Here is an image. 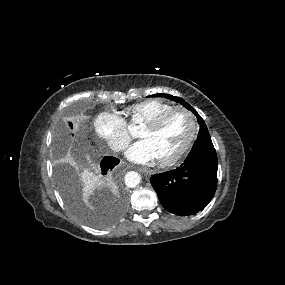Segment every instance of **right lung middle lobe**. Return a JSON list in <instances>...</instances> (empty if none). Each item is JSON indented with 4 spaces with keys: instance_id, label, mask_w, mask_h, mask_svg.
Wrapping results in <instances>:
<instances>
[{
    "instance_id": "obj_1",
    "label": "right lung middle lobe",
    "mask_w": 285,
    "mask_h": 285,
    "mask_svg": "<svg viewBox=\"0 0 285 285\" xmlns=\"http://www.w3.org/2000/svg\"><path fill=\"white\" fill-rule=\"evenodd\" d=\"M69 126L72 127L71 122H69ZM61 145V142L58 141L56 144V149L61 148ZM56 179L64 201L77 216H79L87 223L97 227H106L109 225L108 221H104L99 218H93L88 215L87 212L83 209L80 201L79 191L77 189L76 180L70 175L68 165L62 163L57 164Z\"/></svg>"
}]
</instances>
